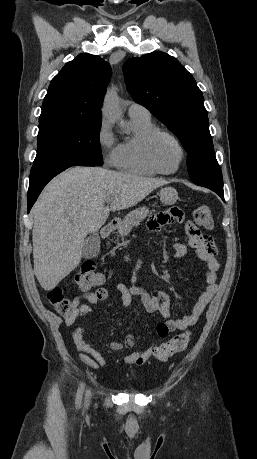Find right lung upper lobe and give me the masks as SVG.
Segmentation results:
<instances>
[{
  "mask_svg": "<svg viewBox=\"0 0 257 459\" xmlns=\"http://www.w3.org/2000/svg\"><path fill=\"white\" fill-rule=\"evenodd\" d=\"M111 75L109 63L100 57L78 55L52 79L42 113L60 112L101 119L100 105Z\"/></svg>",
  "mask_w": 257,
  "mask_h": 459,
  "instance_id": "right-lung-upper-lobe-1",
  "label": "right lung upper lobe"
}]
</instances>
